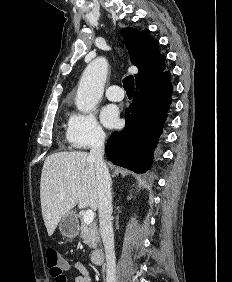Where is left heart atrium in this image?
I'll return each mask as SVG.
<instances>
[{
	"label": "left heart atrium",
	"mask_w": 232,
	"mask_h": 282,
	"mask_svg": "<svg viewBox=\"0 0 232 282\" xmlns=\"http://www.w3.org/2000/svg\"><path fill=\"white\" fill-rule=\"evenodd\" d=\"M101 120L109 128L115 127L119 122V113L113 105H107L102 109Z\"/></svg>",
	"instance_id": "1"
}]
</instances>
